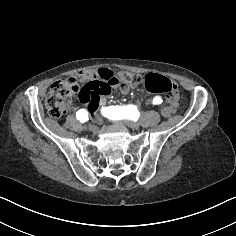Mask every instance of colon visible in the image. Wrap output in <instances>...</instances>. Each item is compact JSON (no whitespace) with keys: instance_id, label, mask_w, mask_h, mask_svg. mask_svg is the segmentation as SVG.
<instances>
[{"instance_id":"obj_1","label":"colon","mask_w":236,"mask_h":236,"mask_svg":"<svg viewBox=\"0 0 236 236\" xmlns=\"http://www.w3.org/2000/svg\"><path fill=\"white\" fill-rule=\"evenodd\" d=\"M141 83L148 92L167 95L169 104L162 109L161 113L165 118L170 117L176 110L178 98V90L174 82L160 75L148 74L142 78L135 73L113 72L105 68L96 71L83 70L76 78L54 82L50 87L45 106L51 117L60 118L70 107V96L76 92L82 103L90 109H95L101 98L108 95L113 88L135 87Z\"/></svg>"}]
</instances>
